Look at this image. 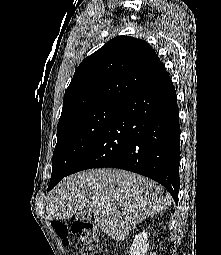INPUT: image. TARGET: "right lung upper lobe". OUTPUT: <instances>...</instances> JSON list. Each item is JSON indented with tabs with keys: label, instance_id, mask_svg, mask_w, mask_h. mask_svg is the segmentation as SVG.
Masks as SVG:
<instances>
[{
	"label": "right lung upper lobe",
	"instance_id": "obj_1",
	"mask_svg": "<svg viewBox=\"0 0 221 255\" xmlns=\"http://www.w3.org/2000/svg\"><path fill=\"white\" fill-rule=\"evenodd\" d=\"M164 72L144 40L117 36L80 63L66 89L59 121L88 107L121 104Z\"/></svg>",
	"mask_w": 221,
	"mask_h": 255
}]
</instances>
